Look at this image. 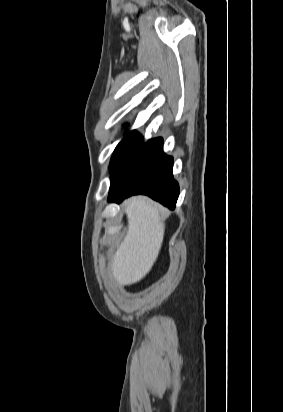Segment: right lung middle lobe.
Listing matches in <instances>:
<instances>
[{"mask_svg": "<svg viewBox=\"0 0 283 412\" xmlns=\"http://www.w3.org/2000/svg\"><path fill=\"white\" fill-rule=\"evenodd\" d=\"M143 141L142 135L136 130L125 133L122 141L117 145L110 162V172L134 149L139 147Z\"/></svg>", "mask_w": 283, "mask_h": 412, "instance_id": "obj_1", "label": "right lung middle lobe"}]
</instances>
